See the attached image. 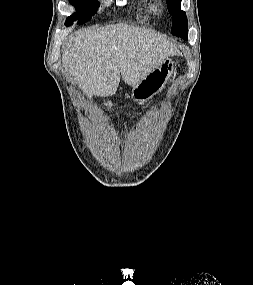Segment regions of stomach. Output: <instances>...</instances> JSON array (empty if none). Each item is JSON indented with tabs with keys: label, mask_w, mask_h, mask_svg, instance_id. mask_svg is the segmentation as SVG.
<instances>
[{
	"label": "stomach",
	"mask_w": 253,
	"mask_h": 285,
	"mask_svg": "<svg viewBox=\"0 0 253 285\" xmlns=\"http://www.w3.org/2000/svg\"><path fill=\"white\" fill-rule=\"evenodd\" d=\"M175 66V62L171 58H166L138 84L133 86V99L137 102H145L162 91L173 76Z\"/></svg>",
	"instance_id": "obj_1"
}]
</instances>
